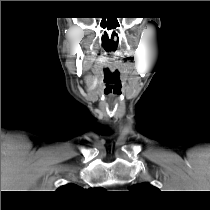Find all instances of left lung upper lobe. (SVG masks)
<instances>
[{
  "label": "left lung upper lobe",
  "mask_w": 210,
  "mask_h": 210,
  "mask_svg": "<svg viewBox=\"0 0 210 210\" xmlns=\"http://www.w3.org/2000/svg\"><path fill=\"white\" fill-rule=\"evenodd\" d=\"M131 190L139 192V193H147V192L155 191V190H157V188H155L149 184L142 183L139 185L132 186Z\"/></svg>",
  "instance_id": "obj_1"
}]
</instances>
